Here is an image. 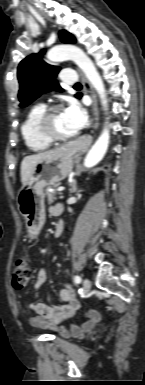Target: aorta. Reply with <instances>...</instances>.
<instances>
[{
    "instance_id": "aorta-1",
    "label": "aorta",
    "mask_w": 145,
    "mask_h": 385,
    "mask_svg": "<svg viewBox=\"0 0 145 385\" xmlns=\"http://www.w3.org/2000/svg\"><path fill=\"white\" fill-rule=\"evenodd\" d=\"M47 58L53 62L63 60L74 61L78 65V67L83 71L93 88L97 91L103 108L107 110L108 100L106 97L105 87L102 78L91 59L86 55V53L82 49L73 45L57 46L52 48L48 52ZM109 140V130L104 127L101 135L85 157L84 165L86 167H93L102 160L108 149Z\"/></svg>"
}]
</instances>
